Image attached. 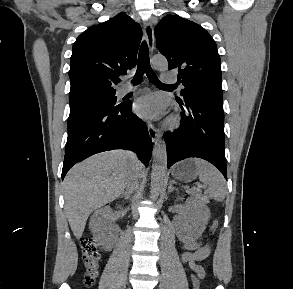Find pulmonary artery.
Masks as SVG:
<instances>
[{"label": "pulmonary artery", "mask_w": 293, "mask_h": 289, "mask_svg": "<svg viewBox=\"0 0 293 289\" xmlns=\"http://www.w3.org/2000/svg\"><path fill=\"white\" fill-rule=\"evenodd\" d=\"M162 80H163L164 82H174V81H175V78L173 77L172 73H170V72H166V73H163V74H162ZM137 87H138V86H137V85H134V84H125V85L122 87V89H121V91H120V94H121V95H125V94H127V93H129V92H131V91L136 90Z\"/></svg>", "instance_id": "1"}]
</instances>
